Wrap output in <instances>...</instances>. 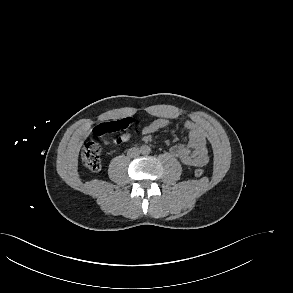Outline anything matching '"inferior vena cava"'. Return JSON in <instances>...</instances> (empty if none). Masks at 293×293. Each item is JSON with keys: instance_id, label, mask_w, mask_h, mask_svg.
<instances>
[{"instance_id": "obj_1", "label": "inferior vena cava", "mask_w": 293, "mask_h": 293, "mask_svg": "<svg viewBox=\"0 0 293 293\" xmlns=\"http://www.w3.org/2000/svg\"><path fill=\"white\" fill-rule=\"evenodd\" d=\"M140 154L138 148H131L128 150L127 155L131 158L137 157Z\"/></svg>"}]
</instances>
